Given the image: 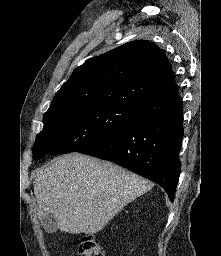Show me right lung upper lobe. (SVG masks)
Instances as JSON below:
<instances>
[{
	"label": "right lung upper lobe",
	"instance_id": "1",
	"mask_svg": "<svg viewBox=\"0 0 221 256\" xmlns=\"http://www.w3.org/2000/svg\"><path fill=\"white\" fill-rule=\"evenodd\" d=\"M168 63L154 43L128 42L76 68L46 113L115 104L142 118L177 108L181 102Z\"/></svg>",
	"mask_w": 221,
	"mask_h": 256
}]
</instances>
